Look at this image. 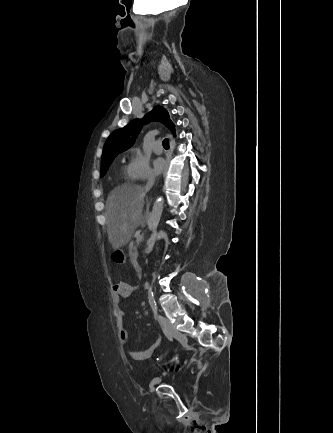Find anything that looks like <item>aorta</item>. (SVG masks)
Wrapping results in <instances>:
<instances>
[{"mask_svg": "<svg viewBox=\"0 0 333 433\" xmlns=\"http://www.w3.org/2000/svg\"><path fill=\"white\" fill-rule=\"evenodd\" d=\"M163 206H164V198L162 196H160L154 202L151 218L148 222V227H149V230L151 231V235L147 241V248H146L148 253L152 252L154 245H155V242H156L157 228H158L160 218L162 215Z\"/></svg>", "mask_w": 333, "mask_h": 433, "instance_id": "aorta-1", "label": "aorta"}]
</instances>
